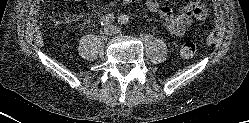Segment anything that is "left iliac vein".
<instances>
[{"label": "left iliac vein", "mask_w": 249, "mask_h": 123, "mask_svg": "<svg viewBox=\"0 0 249 123\" xmlns=\"http://www.w3.org/2000/svg\"><path fill=\"white\" fill-rule=\"evenodd\" d=\"M119 32V30H117L116 28H115V33H118Z\"/></svg>", "instance_id": "left-iliac-vein-1"}]
</instances>
